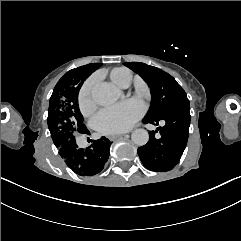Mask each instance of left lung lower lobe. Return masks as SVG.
Segmentation results:
<instances>
[{
    "instance_id": "1",
    "label": "left lung lower lobe",
    "mask_w": 241,
    "mask_h": 241,
    "mask_svg": "<svg viewBox=\"0 0 241 241\" xmlns=\"http://www.w3.org/2000/svg\"><path fill=\"white\" fill-rule=\"evenodd\" d=\"M189 102L178 104L162 116L144 118V124H159L165 121L163 127L158 128L160 138L155 137V132L150 131L148 143L138 148V155L143 165L156 172H165L174 168L179 162L189 135L190 126Z\"/></svg>"
}]
</instances>
